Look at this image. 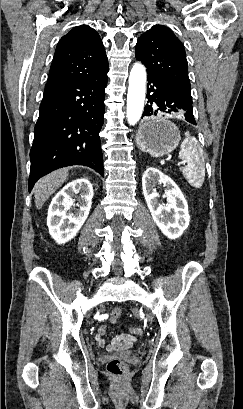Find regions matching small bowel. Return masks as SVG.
<instances>
[{
	"instance_id": "c3829d8e",
	"label": "small bowel",
	"mask_w": 243,
	"mask_h": 409,
	"mask_svg": "<svg viewBox=\"0 0 243 409\" xmlns=\"http://www.w3.org/2000/svg\"><path fill=\"white\" fill-rule=\"evenodd\" d=\"M106 331H107L106 325H102L101 327H99L95 335V340L99 347L106 348V350L109 352L129 349L132 347L136 340V337L134 335L120 334L116 336L109 344H106V341L104 339Z\"/></svg>"
}]
</instances>
